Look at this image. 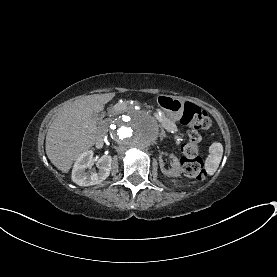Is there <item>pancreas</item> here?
<instances>
[{"label":"pancreas","mask_w":277,"mask_h":277,"mask_svg":"<svg viewBox=\"0 0 277 277\" xmlns=\"http://www.w3.org/2000/svg\"><path fill=\"white\" fill-rule=\"evenodd\" d=\"M138 108L140 111L147 112L152 115V117L157 118V123L160 126H164L167 128V131L170 132V135L173 136L172 142L174 146H181L183 139L182 136L179 135V128L176 127L175 123H168V118L165 115H160L159 110L155 109L154 106L140 102L138 105L134 102H122L120 104H116L114 106L109 107L108 112L111 115L118 114L122 111H134ZM160 115V116H159ZM168 123V124H167Z\"/></svg>","instance_id":"obj_1"}]
</instances>
